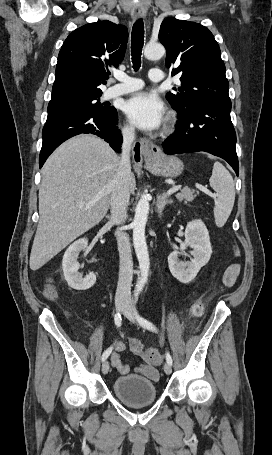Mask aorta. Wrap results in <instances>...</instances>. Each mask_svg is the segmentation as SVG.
Here are the masks:
<instances>
[{"label": "aorta", "mask_w": 272, "mask_h": 455, "mask_svg": "<svg viewBox=\"0 0 272 455\" xmlns=\"http://www.w3.org/2000/svg\"><path fill=\"white\" fill-rule=\"evenodd\" d=\"M165 54V48L159 43H148L144 49V56L149 60H158ZM149 214V199L143 195L137 203L133 226V244L139 262L141 277L136 285V291L143 289L148 279L150 260L145 238V226Z\"/></svg>", "instance_id": "obj_1"}]
</instances>
